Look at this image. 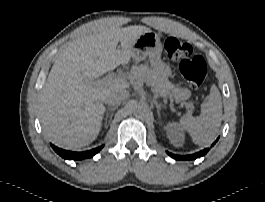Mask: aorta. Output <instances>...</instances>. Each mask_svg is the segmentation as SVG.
Wrapping results in <instances>:
<instances>
[{"instance_id":"762f6f07","label":"aorta","mask_w":265,"mask_h":202,"mask_svg":"<svg viewBox=\"0 0 265 202\" xmlns=\"http://www.w3.org/2000/svg\"><path fill=\"white\" fill-rule=\"evenodd\" d=\"M149 112V108L145 103H138L134 106V113L138 117H145Z\"/></svg>"}]
</instances>
